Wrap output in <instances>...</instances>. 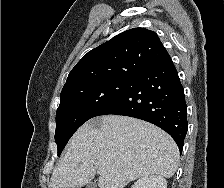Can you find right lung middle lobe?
Returning a JSON list of instances; mask_svg holds the SVG:
<instances>
[{
  "instance_id": "1",
  "label": "right lung middle lobe",
  "mask_w": 224,
  "mask_h": 188,
  "mask_svg": "<svg viewBox=\"0 0 224 188\" xmlns=\"http://www.w3.org/2000/svg\"><path fill=\"white\" fill-rule=\"evenodd\" d=\"M131 83L132 79H107L63 89L56 113L55 142L58 156L74 132L119 100Z\"/></svg>"
}]
</instances>
